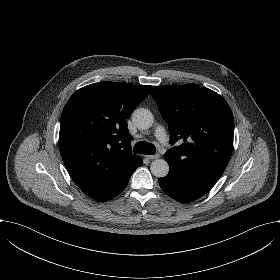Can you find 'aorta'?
Returning <instances> with one entry per match:
<instances>
[{
	"instance_id": "aorta-1",
	"label": "aorta",
	"mask_w": 280,
	"mask_h": 280,
	"mask_svg": "<svg viewBox=\"0 0 280 280\" xmlns=\"http://www.w3.org/2000/svg\"><path fill=\"white\" fill-rule=\"evenodd\" d=\"M134 123L143 130L149 129L153 125V114L145 108L136 109L132 114ZM151 173L157 178H164L169 172V165L164 159H155L151 163Z\"/></svg>"
}]
</instances>
